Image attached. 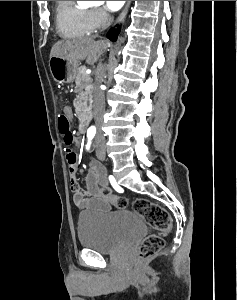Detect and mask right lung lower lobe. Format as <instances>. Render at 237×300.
<instances>
[{
  "label": "right lung lower lobe",
  "instance_id": "1",
  "mask_svg": "<svg viewBox=\"0 0 237 300\" xmlns=\"http://www.w3.org/2000/svg\"><path fill=\"white\" fill-rule=\"evenodd\" d=\"M120 31V27H118L117 29H112L109 31V33L107 34V37L111 40V41H116L117 39V35L119 34Z\"/></svg>",
  "mask_w": 237,
  "mask_h": 300
}]
</instances>
